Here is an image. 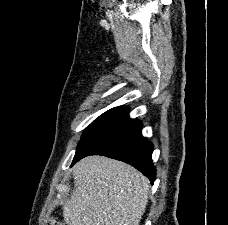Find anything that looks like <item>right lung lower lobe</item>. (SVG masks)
Wrapping results in <instances>:
<instances>
[{
    "mask_svg": "<svg viewBox=\"0 0 228 225\" xmlns=\"http://www.w3.org/2000/svg\"><path fill=\"white\" fill-rule=\"evenodd\" d=\"M128 111L124 107L93 130L77 147L71 166L88 155H103L131 164L153 184V144L141 135V121L130 119Z\"/></svg>",
    "mask_w": 228,
    "mask_h": 225,
    "instance_id": "obj_1",
    "label": "right lung lower lobe"
}]
</instances>
